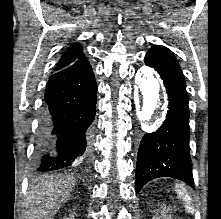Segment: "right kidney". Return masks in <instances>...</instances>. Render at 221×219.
Masks as SVG:
<instances>
[{
    "instance_id": "right-kidney-1",
    "label": "right kidney",
    "mask_w": 221,
    "mask_h": 219,
    "mask_svg": "<svg viewBox=\"0 0 221 219\" xmlns=\"http://www.w3.org/2000/svg\"><path fill=\"white\" fill-rule=\"evenodd\" d=\"M64 219H74V216H73V215H70L69 217L64 218Z\"/></svg>"
}]
</instances>
